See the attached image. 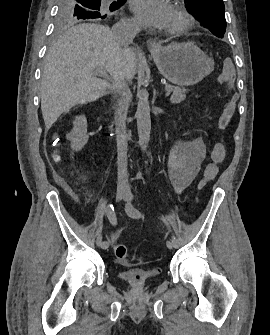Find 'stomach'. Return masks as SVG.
<instances>
[{"instance_id":"1","label":"stomach","mask_w":270,"mask_h":335,"mask_svg":"<svg viewBox=\"0 0 270 335\" xmlns=\"http://www.w3.org/2000/svg\"><path fill=\"white\" fill-rule=\"evenodd\" d=\"M150 52L160 74L177 86L198 84L214 70V60L193 42H173L168 46L150 48Z\"/></svg>"}]
</instances>
